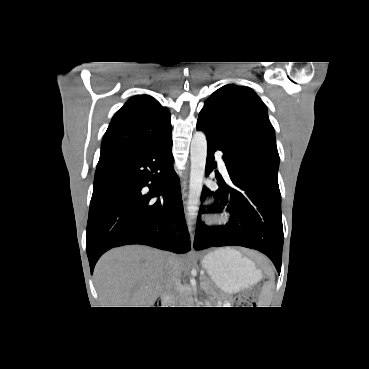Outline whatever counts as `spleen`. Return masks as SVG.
Here are the masks:
<instances>
[{"label": "spleen", "instance_id": "obj_1", "mask_svg": "<svg viewBox=\"0 0 369 369\" xmlns=\"http://www.w3.org/2000/svg\"><path fill=\"white\" fill-rule=\"evenodd\" d=\"M270 281L267 282L266 284H264L263 288H262V293L260 296V305H264L263 307H268V305L270 304V296H271V291L272 288L274 286L273 284V280H274V274L273 272L268 271L267 272Z\"/></svg>", "mask_w": 369, "mask_h": 369}]
</instances>
